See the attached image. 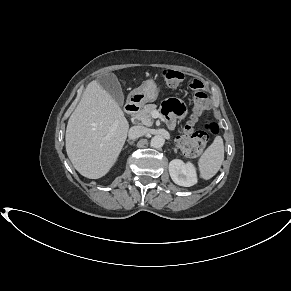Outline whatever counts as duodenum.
Listing matches in <instances>:
<instances>
[{
  "mask_svg": "<svg viewBox=\"0 0 291 291\" xmlns=\"http://www.w3.org/2000/svg\"><path fill=\"white\" fill-rule=\"evenodd\" d=\"M138 111H139V106L134 101H129L125 105V113L129 117H132V116L136 115L138 113Z\"/></svg>",
  "mask_w": 291,
  "mask_h": 291,
  "instance_id": "obj_1",
  "label": "duodenum"
}]
</instances>
